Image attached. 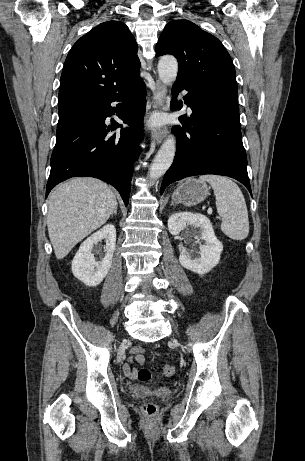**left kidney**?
Masks as SVG:
<instances>
[{"mask_svg": "<svg viewBox=\"0 0 305 461\" xmlns=\"http://www.w3.org/2000/svg\"><path fill=\"white\" fill-rule=\"evenodd\" d=\"M189 228L195 229L197 238L205 243L199 246L200 257H195L192 250L179 245V261L184 268L204 275L219 263L223 245L215 236L210 220L202 214L178 212L168 219V230L172 235L187 232Z\"/></svg>", "mask_w": 305, "mask_h": 461, "instance_id": "left-kidney-1", "label": "left kidney"}]
</instances>
